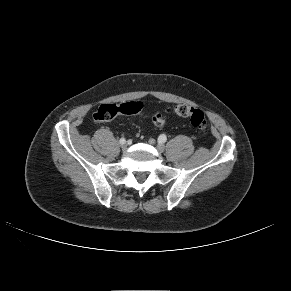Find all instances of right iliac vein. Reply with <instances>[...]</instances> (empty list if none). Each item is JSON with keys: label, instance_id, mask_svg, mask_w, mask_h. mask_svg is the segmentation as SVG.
<instances>
[{"label": "right iliac vein", "instance_id": "63e3f726", "mask_svg": "<svg viewBox=\"0 0 291 291\" xmlns=\"http://www.w3.org/2000/svg\"><path fill=\"white\" fill-rule=\"evenodd\" d=\"M121 148H122L123 150L126 149V148H127V144H126V143L121 144Z\"/></svg>", "mask_w": 291, "mask_h": 291}]
</instances>
